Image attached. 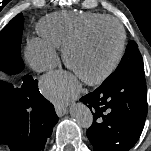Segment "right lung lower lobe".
Returning <instances> with one entry per match:
<instances>
[{"instance_id": "98d812e1", "label": "right lung lower lobe", "mask_w": 151, "mask_h": 151, "mask_svg": "<svg viewBox=\"0 0 151 151\" xmlns=\"http://www.w3.org/2000/svg\"><path fill=\"white\" fill-rule=\"evenodd\" d=\"M22 80L19 88L0 81V112L7 120L0 145L6 151H43L58 116L39 92L38 81L29 75Z\"/></svg>"}]
</instances>
